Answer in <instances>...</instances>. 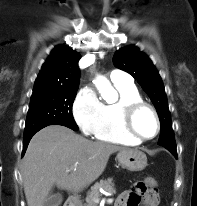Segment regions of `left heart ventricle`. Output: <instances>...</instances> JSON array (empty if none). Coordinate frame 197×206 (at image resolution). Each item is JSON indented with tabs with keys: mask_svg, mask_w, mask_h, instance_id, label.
Masks as SVG:
<instances>
[{
	"mask_svg": "<svg viewBox=\"0 0 197 206\" xmlns=\"http://www.w3.org/2000/svg\"><path fill=\"white\" fill-rule=\"evenodd\" d=\"M137 132L144 137H151L156 131V121L149 110H141L134 121Z\"/></svg>",
	"mask_w": 197,
	"mask_h": 206,
	"instance_id": "b2bd125f",
	"label": "left heart ventricle"
}]
</instances>
